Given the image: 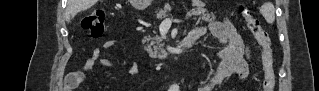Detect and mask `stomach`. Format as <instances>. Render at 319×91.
I'll return each mask as SVG.
<instances>
[{
    "instance_id": "stomach-1",
    "label": "stomach",
    "mask_w": 319,
    "mask_h": 91,
    "mask_svg": "<svg viewBox=\"0 0 319 91\" xmlns=\"http://www.w3.org/2000/svg\"><path fill=\"white\" fill-rule=\"evenodd\" d=\"M142 1H143V3H136V5H138V4L147 5L150 2V0H142ZM135 2H138V0H135Z\"/></svg>"
}]
</instances>
